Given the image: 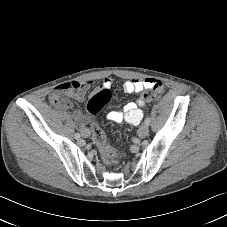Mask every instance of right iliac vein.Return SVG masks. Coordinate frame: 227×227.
I'll use <instances>...</instances> for the list:
<instances>
[{
	"label": "right iliac vein",
	"mask_w": 227,
	"mask_h": 227,
	"mask_svg": "<svg viewBox=\"0 0 227 227\" xmlns=\"http://www.w3.org/2000/svg\"><path fill=\"white\" fill-rule=\"evenodd\" d=\"M90 135V131H88V130H86L85 132H84V137H88Z\"/></svg>",
	"instance_id": "1"
}]
</instances>
